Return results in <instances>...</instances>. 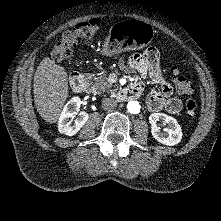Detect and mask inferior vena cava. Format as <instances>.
I'll use <instances>...</instances> for the list:
<instances>
[{
  "label": "inferior vena cava",
  "mask_w": 221,
  "mask_h": 221,
  "mask_svg": "<svg viewBox=\"0 0 221 221\" xmlns=\"http://www.w3.org/2000/svg\"><path fill=\"white\" fill-rule=\"evenodd\" d=\"M117 106V102L113 98H103L102 108L103 109H114Z\"/></svg>",
  "instance_id": "1"
}]
</instances>
